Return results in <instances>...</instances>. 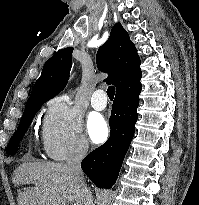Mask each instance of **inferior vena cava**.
<instances>
[{"instance_id":"1","label":"inferior vena cava","mask_w":199,"mask_h":205,"mask_svg":"<svg viewBox=\"0 0 199 205\" xmlns=\"http://www.w3.org/2000/svg\"><path fill=\"white\" fill-rule=\"evenodd\" d=\"M88 152V146L85 143L80 144L73 152L70 153L66 165L68 169L74 174L76 180L78 181L81 191L84 194V205H94L92 193L89 188H87L84 176L81 170V161L86 156Z\"/></svg>"}]
</instances>
